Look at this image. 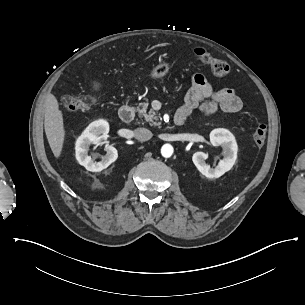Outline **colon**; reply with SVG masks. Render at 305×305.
<instances>
[{"mask_svg":"<svg viewBox=\"0 0 305 305\" xmlns=\"http://www.w3.org/2000/svg\"><path fill=\"white\" fill-rule=\"evenodd\" d=\"M196 57L200 62L210 66L212 71L218 76H224L229 72V66L226 62L214 58L203 47H197L194 50ZM99 92L97 89H91L82 97L67 95L63 99L64 106L69 110H85L90 108L98 99ZM267 136V126L265 123H259L253 133V142L256 146L264 145Z\"/></svg>","mask_w":305,"mask_h":305,"instance_id":"1","label":"colon"}]
</instances>
